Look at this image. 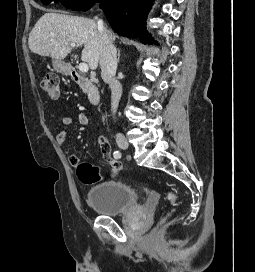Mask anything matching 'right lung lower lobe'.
Here are the masks:
<instances>
[{"label": "right lung lower lobe", "mask_w": 255, "mask_h": 272, "mask_svg": "<svg viewBox=\"0 0 255 272\" xmlns=\"http://www.w3.org/2000/svg\"><path fill=\"white\" fill-rule=\"evenodd\" d=\"M152 3L153 0H101L100 7L116 33L152 44L153 38L146 31V19Z\"/></svg>", "instance_id": "obj_1"}]
</instances>
